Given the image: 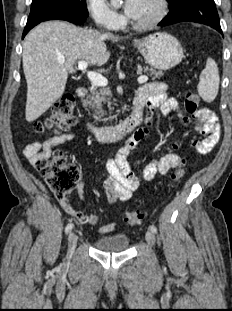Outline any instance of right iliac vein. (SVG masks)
<instances>
[{
  "label": "right iliac vein",
  "instance_id": "right-iliac-vein-1",
  "mask_svg": "<svg viewBox=\"0 0 232 311\" xmlns=\"http://www.w3.org/2000/svg\"><path fill=\"white\" fill-rule=\"evenodd\" d=\"M77 235L74 232H70L69 237H68V254H67V258L70 259L73 251L76 247L77 244Z\"/></svg>",
  "mask_w": 232,
  "mask_h": 311
}]
</instances>
